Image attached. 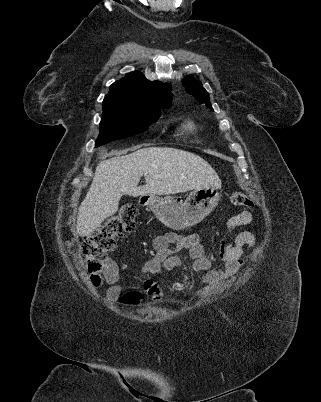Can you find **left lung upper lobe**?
<instances>
[{
  "mask_svg": "<svg viewBox=\"0 0 321 402\" xmlns=\"http://www.w3.org/2000/svg\"><path fill=\"white\" fill-rule=\"evenodd\" d=\"M183 83L187 93L193 95L201 103H205L210 109H212L209 101V95L207 91L203 88L201 82L196 81L191 76H188L183 79Z\"/></svg>",
  "mask_w": 321,
  "mask_h": 402,
  "instance_id": "left-lung-upper-lobe-1",
  "label": "left lung upper lobe"
}]
</instances>
